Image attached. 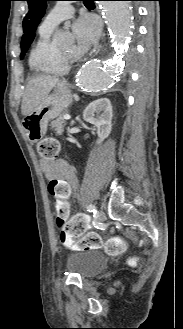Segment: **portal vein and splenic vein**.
Returning <instances> with one entry per match:
<instances>
[{"label": "portal vein and splenic vein", "instance_id": "18ae733b", "mask_svg": "<svg viewBox=\"0 0 183 329\" xmlns=\"http://www.w3.org/2000/svg\"><path fill=\"white\" fill-rule=\"evenodd\" d=\"M70 118H71L70 115H64V116H63V119H65V120H70Z\"/></svg>", "mask_w": 183, "mask_h": 329}]
</instances>
